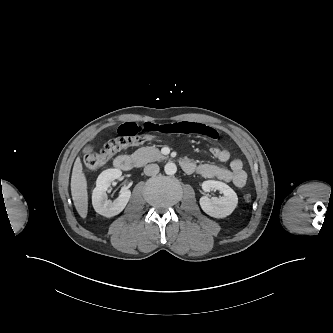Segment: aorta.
<instances>
[{
  "mask_svg": "<svg viewBox=\"0 0 333 333\" xmlns=\"http://www.w3.org/2000/svg\"><path fill=\"white\" fill-rule=\"evenodd\" d=\"M164 171L167 175H174L177 172V166L173 162H168L164 166Z\"/></svg>",
  "mask_w": 333,
  "mask_h": 333,
  "instance_id": "aorta-1",
  "label": "aorta"
}]
</instances>
